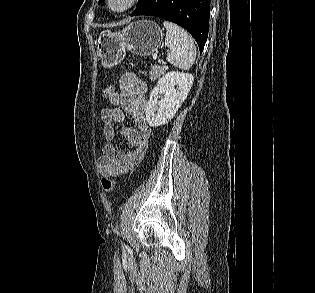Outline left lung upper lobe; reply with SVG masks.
I'll return each instance as SVG.
<instances>
[{
	"mask_svg": "<svg viewBox=\"0 0 315 293\" xmlns=\"http://www.w3.org/2000/svg\"><path fill=\"white\" fill-rule=\"evenodd\" d=\"M103 1H104V0H99V4L102 3ZM144 1H145V0H139V3H138V5H137V7L140 6Z\"/></svg>",
	"mask_w": 315,
	"mask_h": 293,
	"instance_id": "left-lung-upper-lobe-1",
	"label": "left lung upper lobe"
}]
</instances>
